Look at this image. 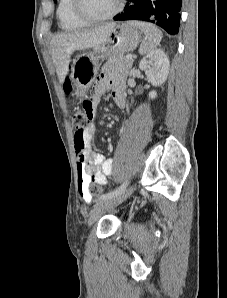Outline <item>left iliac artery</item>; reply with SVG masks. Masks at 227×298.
Returning <instances> with one entry per match:
<instances>
[{
	"mask_svg": "<svg viewBox=\"0 0 227 298\" xmlns=\"http://www.w3.org/2000/svg\"><path fill=\"white\" fill-rule=\"evenodd\" d=\"M126 186H127V181H125L120 187L116 188L115 190L110 191V192H108L106 194L101 195L99 197V200L111 198V197H114V196L120 194L121 192L124 191V189L126 188Z\"/></svg>",
	"mask_w": 227,
	"mask_h": 298,
	"instance_id": "44dca946",
	"label": "left iliac artery"
}]
</instances>
